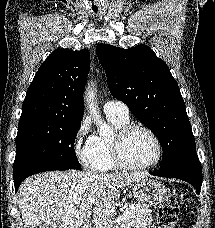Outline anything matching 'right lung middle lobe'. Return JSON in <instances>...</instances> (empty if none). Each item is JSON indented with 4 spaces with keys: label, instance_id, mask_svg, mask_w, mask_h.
Masks as SVG:
<instances>
[{
    "label": "right lung middle lobe",
    "instance_id": "1",
    "mask_svg": "<svg viewBox=\"0 0 215 228\" xmlns=\"http://www.w3.org/2000/svg\"><path fill=\"white\" fill-rule=\"evenodd\" d=\"M81 121H60L18 128L13 172L42 165L80 169L74 142Z\"/></svg>",
    "mask_w": 215,
    "mask_h": 228
}]
</instances>
